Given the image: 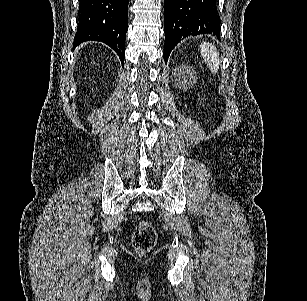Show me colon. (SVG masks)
<instances>
[{"instance_id": "1", "label": "colon", "mask_w": 307, "mask_h": 301, "mask_svg": "<svg viewBox=\"0 0 307 301\" xmlns=\"http://www.w3.org/2000/svg\"><path fill=\"white\" fill-rule=\"evenodd\" d=\"M157 238L154 225L149 221H142L132 235V246L138 254L143 255L154 248Z\"/></svg>"}]
</instances>
